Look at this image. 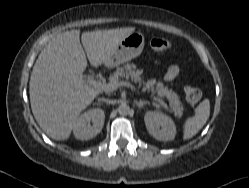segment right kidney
Returning <instances> with one entry per match:
<instances>
[{"label":"right kidney","instance_id":"obj_1","mask_svg":"<svg viewBox=\"0 0 249 188\" xmlns=\"http://www.w3.org/2000/svg\"><path fill=\"white\" fill-rule=\"evenodd\" d=\"M105 113L100 108L90 109L81 114L74 124L73 133L76 139L89 140L101 132ZM92 123V124H91Z\"/></svg>","mask_w":249,"mask_h":188}]
</instances>
